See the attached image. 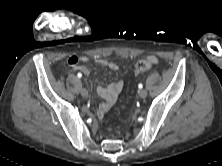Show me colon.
Masks as SVG:
<instances>
[{
	"label": "colon",
	"mask_w": 222,
	"mask_h": 166,
	"mask_svg": "<svg viewBox=\"0 0 222 166\" xmlns=\"http://www.w3.org/2000/svg\"><path fill=\"white\" fill-rule=\"evenodd\" d=\"M153 62L149 58L139 60L135 65L134 73L136 75L149 71L152 68Z\"/></svg>",
	"instance_id": "1"
}]
</instances>
